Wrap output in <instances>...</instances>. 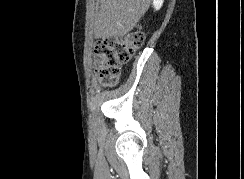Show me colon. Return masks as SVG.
Masks as SVG:
<instances>
[{
  "label": "colon",
  "instance_id": "colon-1",
  "mask_svg": "<svg viewBox=\"0 0 244 179\" xmlns=\"http://www.w3.org/2000/svg\"><path fill=\"white\" fill-rule=\"evenodd\" d=\"M145 36L141 28L129 36L104 39L95 46L97 75L105 86L112 87L121 75V67L131 60L132 53L139 49Z\"/></svg>",
  "mask_w": 244,
  "mask_h": 179
}]
</instances>
